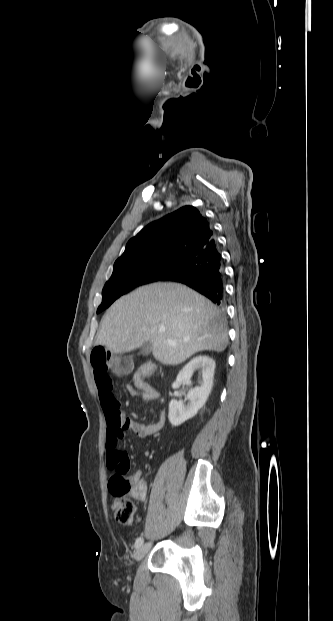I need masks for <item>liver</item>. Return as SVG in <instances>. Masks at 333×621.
<instances>
[{
    "label": "liver",
    "mask_w": 333,
    "mask_h": 621,
    "mask_svg": "<svg viewBox=\"0 0 333 621\" xmlns=\"http://www.w3.org/2000/svg\"><path fill=\"white\" fill-rule=\"evenodd\" d=\"M147 341L158 361L177 365L199 351H224L228 333L220 310L205 297L181 284L155 283L111 306L102 318L96 344L124 354Z\"/></svg>",
    "instance_id": "6515ba94"
}]
</instances>
